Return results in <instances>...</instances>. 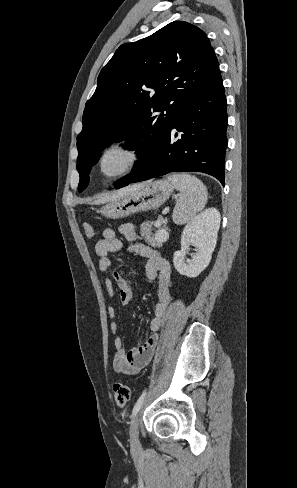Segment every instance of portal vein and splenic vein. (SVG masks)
Here are the masks:
<instances>
[{
  "label": "portal vein and splenic vein",
  "instance_id": "18ae733b",
  "mask_svg": "<svg viewBox=\"0 0 297 488\" xmlns=\"http://www.w3.org/2000/svg\"><path fill=\"white\" fill-rule=\"evenodd\" d=\"M165 213H166V210L163 211V214H165ZM159 232L162 233L163 231H159ZM159 232L156 233V237L158 236Z\"/></svg>",
  "mask_w": 297,
  "mask_h": 488
}]
</instances>
